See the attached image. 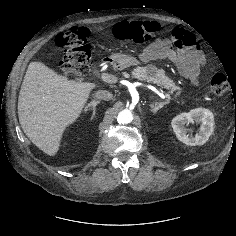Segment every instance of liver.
<instances>
[{
	"mask_svg": "<svg viewBox=\"0 0 236 236\" xmlns=\"http://www.w3.org/2000/svg\"><path fill=\"white\" fill-rule=\"evenodd\" d=\"M95 83L69 80L42 62L27 68L18 98V116L26 136L55 155L64 131L80 117Z\"/></svg>",
	"mask_w": 236,
	"mask_h": 236,
	"instance_id": "1",
	"label": "liver"
}]
</instances>
